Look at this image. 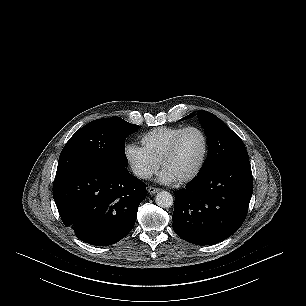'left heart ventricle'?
<instances>
[{
    "label": "left heart ventricle",
    "instance_id": "left-heart-ventricle-1",
    "mask_svg": "<svg viewBox=\"0 0 306 306\" xmlns=\"http://www.w3.org/2000/svg\"><path fill=\"white\" fill-rule=\"evenodd\" d=\"M204 150L200 133L190 130L182 137L173 157L165 164L164 170L176 180L191 174L198 166Z\"/></svg>",
    "mask_w": 306,
    "mask_h": 306
}]
</instances>
